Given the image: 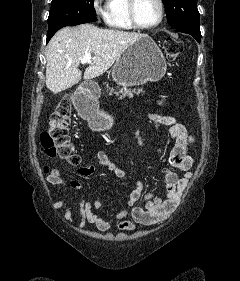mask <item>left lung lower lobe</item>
<instances>
[{
  "label": "left lung lower lobe",
  "mask_w": 240,
  "mask_h": 281,
  "mask_svg": "<svg viewBox=\"0 0 240 281\" xmlns=\"http://www.w3.org/2000/svg\"><path fill=\"white\" fill-rule=\"evenodd\" d=\"M175 30L177 32H183L192 35L199 43L201 41L200 28L193 29V28L184 27V28H177Z\"/></svg>",
  "instance_id": "1"
}]
</instances>
